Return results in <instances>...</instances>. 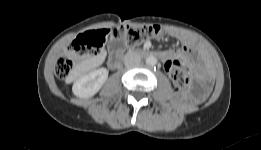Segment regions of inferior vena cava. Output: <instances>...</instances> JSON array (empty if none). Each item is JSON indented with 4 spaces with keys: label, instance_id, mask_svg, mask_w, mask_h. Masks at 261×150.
<instances>
[{
    "label": "inferior vena cava",
    "instance_id": "obj_1",
    "mask_svg": "<svg viewBox=\"0 0 261 150\" xmlns=\"http://www.w3.org/2000/svg\"><path fill=\"white\" fill-rule=\"evenodd\" d=\"M140 61H141V59L138 56V54L135 52H132V51L126 53L124 56V64L127 67L138 65L140 63Z\"/></svg>",
    "mask_w": 261,
    "mask_h": 150
}]
</instances>
